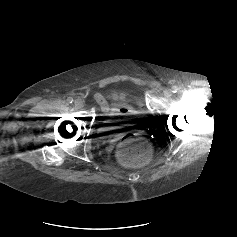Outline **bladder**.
I'll return each instance as SVG.
<instances>
[{
  "mask_svg": "<svg viewBox=\"0 0 237 237\" xmlns=\"http://www.w3.org/2000/svg\"><path fill=\"white\" fill-rule=\"evenodd\" d=\"M144 114V110L138 113H130L129 111V113L125 116L106 117L99 123V127L101 128L103 134H112L119 130L136 125L142 119Z\"/></svg>",
  "mask_w": 237,
  "mask_h": 237,
  "instance_id": "bladder-1",
  "label": "bladder"
}]
</instances>
